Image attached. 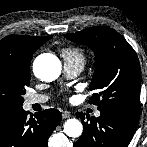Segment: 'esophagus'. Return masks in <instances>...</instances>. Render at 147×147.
<instances>
[{
    "label": "esophagus",
    "instance_id": "34e87169",
    "mask_svg": "<svg viewBox=\"0 0 147 147\" xmlns=\"http://www.w3.org/2000/svg\"><path fill=\"white\" fill-rule=\"evenodd\" d=\"M70 117H71L70 112L65 111V112L62 113V118H63V119H67V118H70Z\"/></svg>",
    "mask_w": 147,
    "mask_h": 147
}]
</instances>
